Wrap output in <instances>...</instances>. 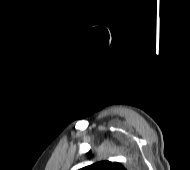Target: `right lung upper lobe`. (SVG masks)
<instances>
[{
	"label": "right lung upper lobe",
	"mask_w": 190,
	"mask_h": 170,
	"mask_svg": "<svg viewBox=\"0 0 190 170\" xmlns=\"http://www.w3.org/2000/svg\"><path fill=\"white\" fill-rule=\"evenodd\" d=\"M80 170H126L120 163L101 161L92 165L86 166Z\"/></svg>",
	"instance_id": "right-lung-upper-lobe-1"
}]
</instances>
